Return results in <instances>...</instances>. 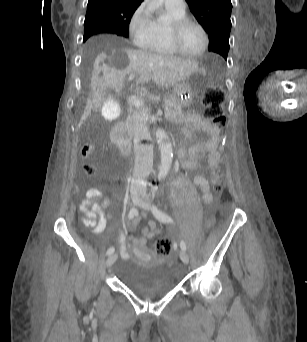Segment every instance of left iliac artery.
I'll return each instance as SVG.
<instances>
[{
	"label": "left iliac artery",
	"instance_id": "1",
	"mask_svg": "<svg viewBox=\"0 0 307 342\" xmlns=\"http://www.w3.org/2000/svg\"><path fill=\"white\" fill-rule=\"evenodd\" d=\"M157 191H158V187H153L151 189V200L152 201L155 199ZM152 212H153L154 216L159 221L173 223V219L169 215L163 213L162 211H160L159 209H157L154 206L152 207ZM180 247L182 250H184V251L186 250V243L183 240H181V242H180Z\"/></svg>",
	"mask_w": 307,
	"mask_h": 342
}]
</instances>
